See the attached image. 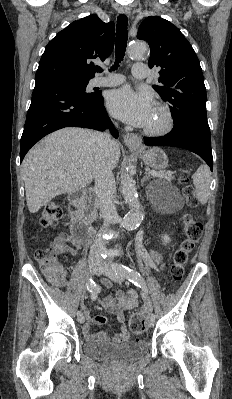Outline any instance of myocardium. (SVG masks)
<instances>
[{
  "label": "myocardium",
  "mask_w": 232,
  "mask_h": 399,
  "mask_svg": "<svg viewBox=\"0 0 232 399\" xmlns=\"http://www.w3.org/2000/svg\"><path fill=\"white\" fill-rule=\"evenodd\" d=\"M157 108L162 113L164 122L163 125L155 130H140V133L146 137L158 138L170 133L174 127L175 119L172 110L169 106L161 103H157Z\"/></svg>",
  "instance_id": "obj_1"
}]
</instances>
